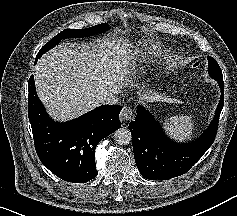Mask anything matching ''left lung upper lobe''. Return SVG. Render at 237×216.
Segmentation results:
<instances>
[{"label":"left lung upper lobe","instance_id":"5c2ea615","mask_svg":"<svg viewBox=\"0 0 237 216\" xmlns=\"http://www.w3.org/2000/svg\"><path fill=\"white\" fill-rule=\"evenodd\" d=\"M209 75L218 81L219 85H224L222 71L215 59L208 56Z\"/></svg>","mask_w":237,"mask_h":216}]
</instances>
